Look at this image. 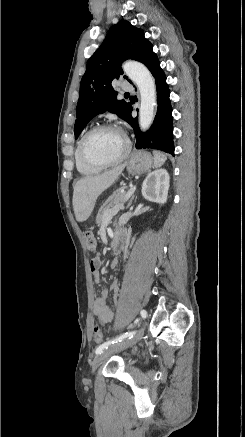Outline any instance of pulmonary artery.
<instances>
[{
	"label": "pulmonary artery",
	"instance_id": "pulmonary-artery-1",
	"mask_svg": "<svg viewBox=\"0 0 245 437\" xmlns=\"http://www.w3.org/2000/svg\"><path fill=\"white\" fill-rule=\"evenodd\" d=\"M133 89L132 85L128 82H123L121 84V90L122 91H131Z\"/></svg>",
	"mask_w": 245,
	"mask_h": 437
}]
</instances>
